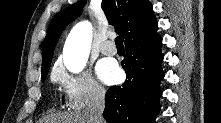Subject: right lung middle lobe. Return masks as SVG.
Segmentation results:
<instances>
[{
	"label": "right lung middle lobe",
	"mask_w": 221,
	"mask_h": 123,
	"mask_svg": "<svg viewBox=\"0 0 221 123\" xmlns=\"http://www.w3.org/2000/svg\"><path fill=\"white\" fill-rule=\"evenodd\" d=\"M49 68H50V64H48L46 67L42 68V77H41L42 81L45 80L46 75L49 71Z\"/></svg>",
	"instance_id": "dd1d6c3e"
}]
</instances>
